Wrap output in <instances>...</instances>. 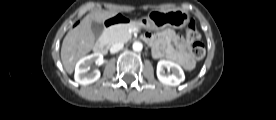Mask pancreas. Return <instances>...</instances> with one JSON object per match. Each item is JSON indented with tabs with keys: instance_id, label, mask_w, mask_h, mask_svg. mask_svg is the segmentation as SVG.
I'll return each instance as SVG.
<instances>
[{
	"instance_id": "1",
	"label": "pancreas",
	"mask_w": 276,
	"mask_h": 120,
	"mask_svg": "<svg viewBox=\"0 0 276 120\" xmlns=\"http://www.w3.org/2000/svg\"><path fill=\"white\" fill-rule=\"evenodd\" d=\"M133 26L132 24H118L107 29L105 31L107 44L111 45L117 42H127L130 40L131 34L129 33V28Z\"/></svg>"
}]
</instances>
